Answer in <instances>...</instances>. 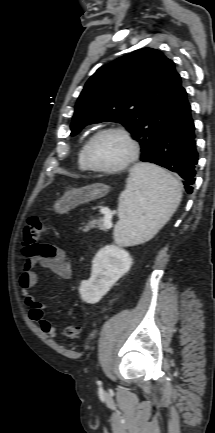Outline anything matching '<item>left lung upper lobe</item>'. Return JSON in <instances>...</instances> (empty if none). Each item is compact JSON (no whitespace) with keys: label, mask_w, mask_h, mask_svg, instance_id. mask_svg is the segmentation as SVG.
I'll list each match as a JSON object with an SVG mask.
<instances>
[{"label":"left lung upper lobe","mask_w":215,"mask_h":433,"mask_svg":"<svg viewBox=\"0 0 215 433\" xmlns=\"http://www.w3.org/2000/svg\"><path fill=\"white\" fill-rule=\"evenodd\" d=\"M181 89L173 61L156 49L136 50L100 67L87 81L75 106L71 136L88 124L119 122L139 142L141 161L149 162Z\"/></svg>","instance_id":"left-lung-upper-lobe-1"}]
</instances>
